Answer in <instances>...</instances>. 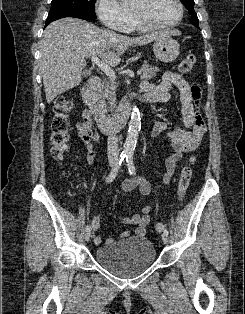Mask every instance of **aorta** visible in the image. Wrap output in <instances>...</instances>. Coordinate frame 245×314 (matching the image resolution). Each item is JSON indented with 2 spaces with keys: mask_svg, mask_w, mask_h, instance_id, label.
Wrapping results in <instances>:
<instances>
[{
  "mask_svg": "<svg viewBox=\"0 0 245 314\" xmlns=\"http://www.w3.org/2000/svg\"><path fill=\"white\" fill-rule=\"evenodd\" d=\"M121 1L123 2L126 0ZM140 129H141L140 112L138 108L135 106L132 109L131 119L129 121L128 134L123 149L124 155H131L134 153Z\"/></svg>",
  "mask_w": 245,
  "mask_h": 314,
  "instance_id": "762f6f07",
  "label": "aorta"
}]
</instances>
